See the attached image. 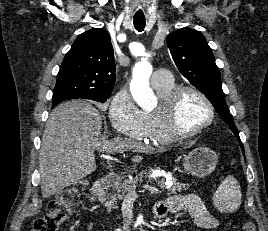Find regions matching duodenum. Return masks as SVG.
<instances>
[{
	"instance_id": "duodenum-1",
	"label": "duodenum",
	"mask_w": 268,
	"mask_h": 231,
	"mask_svg": "<svg viewBox=\"0 0 268 231\" xmlns=\"http://www.w3.org/2000/svg\"><path fill=\"white\" fill-rule=\"evenodd\" d=\"M120 181V177L116 171H111L99 181L96 182L92 189V193L95 196H101L105 189H108L116 185Z\"/></svg>"
}]
</instances>
